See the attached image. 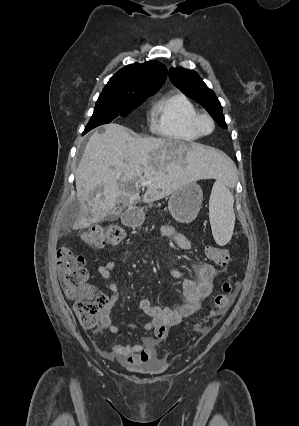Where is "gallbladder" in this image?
Returning <instances> with one entry per match:
<instances>
[{
  "instance_id": "gallbladder-1",
  "label": "gallbladder",
  "mask_w": 299,
  "mask_h": 426,
  "mask_svg": "<svg viewBox=\"0 0 299 426\" xmlns=\"http://www.w3.org/2000/svg\"><path fill=\"white\" fill-rule=\"evenodd\" d=\"M123 207H118L113 209L111 212L108 213L107 215V220H116L119 216V214L122 212Z\"/></svg>"
}]
</instances>
